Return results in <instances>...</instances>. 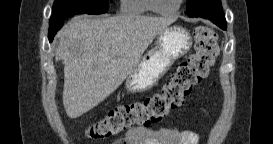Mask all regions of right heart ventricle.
<instances>
[{
    "label": "right heart ventricle",
    "instance_id": "1",
    "mask_svg": "<svg viewBox=\"0 0 273 144\" xmlns=\"http://www.w3.org/2000/svg\"><path fill=\"white\" fill-rule=\"evenodd\" d=\"M148 0H122L121 12L128 16H142L149 11Z\"/></svg>",
    "mask_w": 273,
    "mask_h": 144
}]
</instances>
